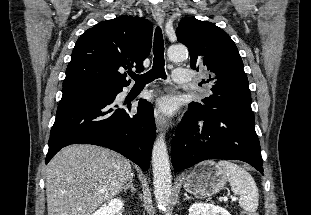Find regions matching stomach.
<instances>
[{"label": "stomach", "mask_w": 311, "mask_h": 215, "mask_svg": "<svg viewBox=\"0 0 311 215\" xmlns=\"http://www.w3.org/2000/svg\"><path fill=\"white\" fill-rule=\"evenodd\" d=\"M227 182L223 170L214 161H205L188 174L184 189L197 198H209L222 190Z\"/></svg>", "instance_id": "obj_1"}]
</instances>
